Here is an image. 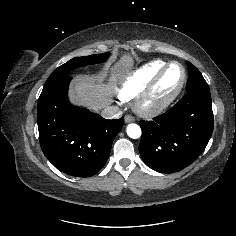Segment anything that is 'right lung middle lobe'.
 Masks as SVG:
<instances>
[{
    "mask_svg": "<svg viewBox=\"0 0 236 236\" xmlns=\"http://www.w3.org/2000/svg\"><path fill=\"white\" fill-rule=\"evenodd\" d=\"M109 53H104V54H97V55H90V56H84V57H76L65 64L61 65L58 67L47 79L46 83H50L53 81L58 80L59 78L63 76H67L68 73L75 68L81 66V65H91V64H96L100 63L104 60H106L109 57Z\"/></svg>",
    "mask_w": 236,
    "mask_h": 236,
    "instance_id": "obj_1",
    "label": "right lung middle lobe"
}]
</instances>
